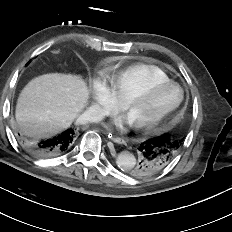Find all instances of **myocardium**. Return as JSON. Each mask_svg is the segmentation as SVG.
Returning a JSON list of instances; mask_svg holds the SVG:
<instances>
[{
	"mask_svg": "<svg viewBox=\"0 0 232 232\" xmlns=\"http://www.w3.org/2000/svg\"><path fill=\"white\" fill-rule=\"evenodd\" d=\"M168 86H176L180 89V93H181L180 99L171 108L166 110L159 117L143 122L141 124L135 125V128L137 130L149 131V130L156 128L160 124H162L167 118H169L173 113H175L180 108V106L182 105L184 101L185 90L178 82L174 80H168L165 82L155 84L137 93H134L123 101L122 108L124 110H128L132 105L145 101L147 98L153 96L154 94H156L157 92H159L160 90Z\"/></svg>",
	"mask_w": 232,
	"mask_h": 232,
	"instance_id": "1",
	"label": "myocardium"
}]
</instances>
